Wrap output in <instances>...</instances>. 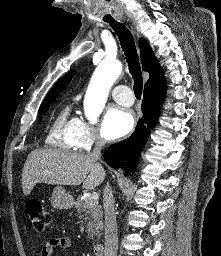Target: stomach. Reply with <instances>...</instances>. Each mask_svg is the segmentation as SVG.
<instances>
[{"mask_svg":"<svg viewBox=\"0 0 221 256\" xmlns=\"http://www.w3.org/2000/svg\"><path fill=\"white\" fill-rule=\"evenodd\" d=\"M51 204L56 209H70L74 205V199L61 186L54 188Z\"/></svg>","mask_w":221,"mask_h":256,"instance_id":"obj_1","label":"stomach"}]
</instances>
